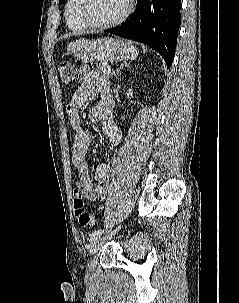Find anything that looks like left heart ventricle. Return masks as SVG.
Segmentation results:
<instances>
[{
  "instance_id": "left-heart-ventricle-1",
  "label": "left heart ventricle",
  "mask_w": 239,
  "mask_h": 303,
  "mask_svg": "<svg viewBox=\"0 0 239 303\" xmlns=\"http://www.w3.org/2000/svg\"><path fill=\"white\" fill-rule=\"evenodd\" d=\"M127 6V0H89L88 17L96 23H105L119 17Z\"/></svg>"
}]
</instances>
